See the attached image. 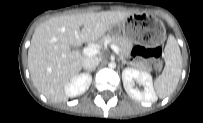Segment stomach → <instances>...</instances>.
Returning <instances> with one entry per match:
<instances>
[{
	"instance_id": "0dacf381",
	"label": "stomach",
	"mask_w": 203,
	"mask_h": 123,
	"mask_svg": "<svg viewBox=\"0 0 203 123\" xmlns=\"http://www.w3.org/2000/svg\"><path fill=\"white\" fill-rule=\"evenodd\" d=\"M120 33L130 42H140L153 47L162 44L166 38L162 22L151 16L129 22L126 19L109 30L110 35H119Z\"/></svg>"
}]
</instances>
